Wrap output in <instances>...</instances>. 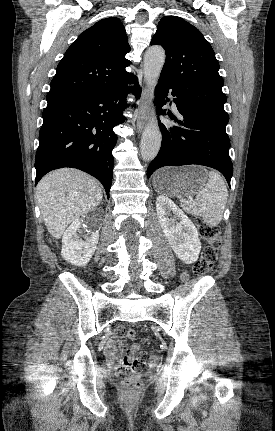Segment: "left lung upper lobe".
Instances as JSON below:
<instances>
[{
    "mask_svg": "<svg viewBox=\"0 0 275 431\" xmlns=\"http://www.w3.org/2000/svg\"><path fill=\"white\" fill-rule=\"evenodd\" d=\"M154 44L161 45L166 52L160 78L168 80L194 106L228 120L219 63L202 33L180 17L165 16L152 38L151 45Z\"/></svg>",
    "mask_w": 275,
    "mask_h": 431,
    "instance_id": "1",
    "label": "left lung upper lobe"
}]
</instances>
